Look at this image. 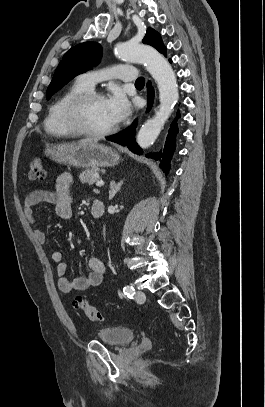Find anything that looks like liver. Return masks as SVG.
Here are the masks:
<instances>
[{"mask_svg": "<svg viewBox=\"0 0 265 407\" xmlns=\"http://www.w3.org/2000/svg\"><path fill=\"white\" fill-rule=\"evenodd\" d=\"M88 142H96V140L93 139H83L80 141V143H88Z\"/></svg>", "mask_w": 265, "mask_h": 407, "instance_id": "6515ba94", "label": "liver"}]
</instances>
